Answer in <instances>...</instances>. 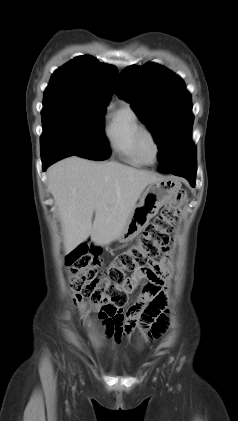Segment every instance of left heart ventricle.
<instances>
[{
    "label": "left heart ventricle",
    "instance_id": "left-heart-ventricle-1",
    "mask_svg": "<svg viewBox=\"0 0 238 421\" xmlns=\"http://www.w3.org/2000/svg\"><path fill=\"white\" fill-rule=\"evenodd\" d=\"M146 150L150 156L153 154V148L149 143L146 144Z\"/></svg>",
    "mask_w": 238,
    "mask_h": 421
}]
</instances>
